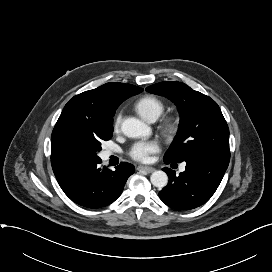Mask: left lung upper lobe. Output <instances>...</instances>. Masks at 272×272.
<instances>
[{
  "mask_svg": "<svg viewBox=\"0 0 272 272\" xmlns=\"http://www.w3.org/2000/svg\"><path fill=\"white\" fill-rule=\"evenodd\" d=\"M174 102L180 113L178 135L164 161H188L205 153H228L229 128L217 103L180 82H160L146 88Z\"/></svg>",
  "mask_w": 272,
  "mask_h": 272,
  "instance_id": "left-lung-upper-lobe-1",
  "label": "left lung upper lobe"
}]
</instances>
